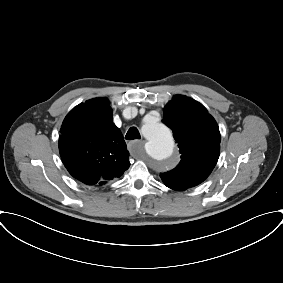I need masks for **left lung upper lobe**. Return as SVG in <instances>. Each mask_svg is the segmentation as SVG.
<instances>
[{
    "label": "left lung upper lobe",
    "mask_w": 283,
    "mask_h": 283,
    "mask_svg": "<svg viewBox=\"0 0 283 283\" xmlns=\"http://www.w3.org/2000/svg\"><path fill=\"white\" fill-rule=\"evenodd\" d=\"M173 131L181 161L160 174L164 184L185 190L203 182L215 167L220 151V132L214 118L199 102L176 95L164 108L162 120Z\"/></svg>",
    "instance_id": "obj_1"
}]
</instances>
